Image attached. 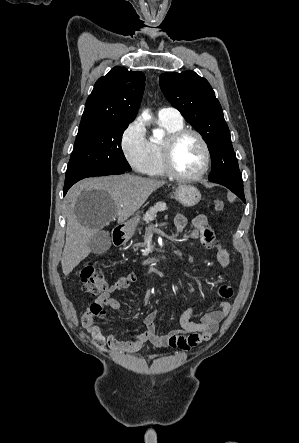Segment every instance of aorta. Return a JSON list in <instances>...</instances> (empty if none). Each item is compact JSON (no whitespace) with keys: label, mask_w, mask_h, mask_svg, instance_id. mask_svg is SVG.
Segmentation results:
<instances>
[{"label":"aorta","mask_w":299,"mask_h":443,"mask_svg":"<svg viewBox=\"0 0 299 443\" xmlns=\"http://www.w3.org/2000/svg\"><path fill=\"white\" fill-rule=\"evenodd\" d=\"M143 115H144V117H148L147 113H144ZM153 136L158 138V139L162 138L163 137V130H160V129L154 130L153 131Z\"/></svg>","instance_id":"obj_1"}]
</instances>
